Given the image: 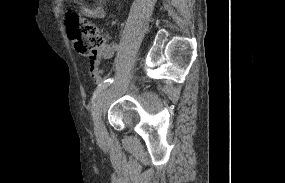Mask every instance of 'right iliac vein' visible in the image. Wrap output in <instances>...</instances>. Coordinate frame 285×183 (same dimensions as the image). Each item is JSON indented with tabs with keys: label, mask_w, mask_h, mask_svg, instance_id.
<instances>
[{
	"label": "right iliac vein",
	"mask_w": 285,
	"mask_h": 183,
	"mask_svg": "<svg viewBox=\"0 0 285 183\" xmlns=\"http://www.w3.org/2000/svg\"><path fill=\"white\" fill-rule=\"evenodd\" d=\"M109 89L106 87L99 95L95 108V131L98 138L102 139L105 135V130L102 121V106L106 99Z\"/></svg>",
	"instance_id": "right-iliac-vein-1"
}]
</instances>
